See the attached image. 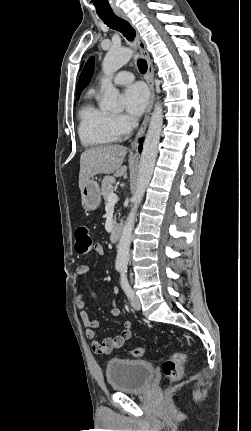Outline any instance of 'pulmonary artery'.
Listing matches in <instances>:
<instances>
[{
  "instance_id": "obj_1",
  "label": "pulmonary artery",
  "mask_w": 251,
  "mask_h": 431,
  "mask_svg": "<svg viewBox=\"0 0 251 431\" xmlns=\"http://www.w3.org/2000/svg\"><path fill=\"white\" fill-rule=\"evenodd\" d=\"M133 79L134 75L131 72L120 71L114 76L113 81L118 85H124L132 82Z\"/></svg>"
}]
</instances>
